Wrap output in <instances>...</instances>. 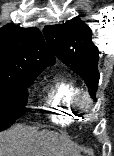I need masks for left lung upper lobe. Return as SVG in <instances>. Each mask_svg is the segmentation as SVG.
<instances>
[{
    "mask_svg": "<svg viewBox=\"0 0 114 156\" xmlns=\"http://www.w3.org/2000/svg\"><path fill=\"white\" fill-rule=\"evenodd\" d=\"M43 33L56 56L85 80L90 95L95 98L99 51L92 42L91 29L76 17L62 25L45 26Z\"/></svg>",
    "mask_w": 114,
    "mask_h": 156,
    "instance_id": "left-lung-upper-lobe-1",
    "label": "left lung upper lobe"
}]
</instances>
